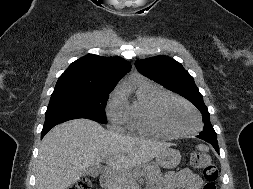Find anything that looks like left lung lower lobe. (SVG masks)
<instances>
[{"label": "left lung lower lobe", "mask_w": 253, "mask_h": 189, "mask_svg": "<svg viewBox=\"0 0 253 189\" xmlns=\"http://www.w3.org/2000/svg\"><path fill=\"white\" fill-rule=\"evenodd\" d=\"M197 137L209 142L214 147L216 152L219 153L217 135H207V134L200 133V135H198Z\"/></svg>", "instance_id": "0a47b994"}]
</instances>
